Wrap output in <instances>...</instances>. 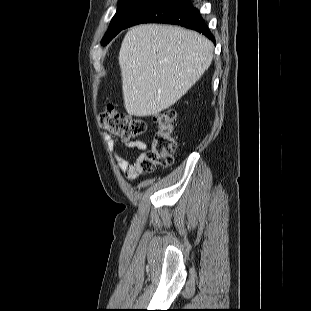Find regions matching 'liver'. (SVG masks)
<instances>
[{
    "instance_id": "obj_1",
    "label": "liver",
    "mask_w": 311,
    "mask_h": 311,
    "mask_svg": "<svg viewBox=\"0 0 311 311\" xmlns=\"http://www.w3.org/2000/svg\"><path fill=\"white\" fill-rule=\"evenodd\" d=\"M206 37L177 26L144 24L125 35L119 65L129 115H157L200 79L213 59Z\"/></svg>"
}]
</instances>
